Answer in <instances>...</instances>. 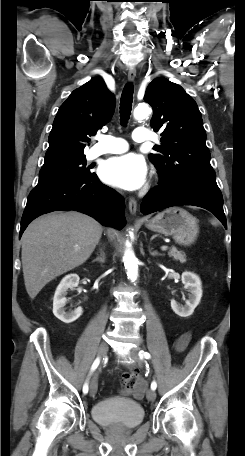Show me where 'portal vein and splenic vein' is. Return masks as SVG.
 <instances>
[{
    "mask_svg": "<svg viewBox=\"0 0 245 456\" xmlns=\"http://www.w3.org/2000/svg\"><path fill=\"white\" fill-rule=\"evenodd\" d=\"M161 250H162V251L168 250V246H166V245L162 246V247H161Z\"/></svg>",
    "mask_w": 245,
    "mask_h": 456,
    "instance_id": "1",
    "label": "portal vein and splenic vein"
}]
</instances>
